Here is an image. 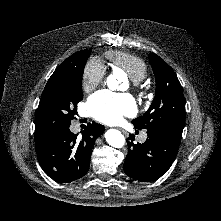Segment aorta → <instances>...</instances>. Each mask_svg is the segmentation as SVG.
Here are the masks:
<instances>
[{"label":"aorta","instance_id":"obj_1","mask_svg":"<svg viewBox=\"0 0 221 221\" xmlns=\"http://www.w3.org/2000/svg\"><path fill=\"white\" fill-rule=\"evenodd\" d=\"M107 85L110 90H116L119 82L115 75H110L107 78ZM105 139L107 143L114 148H122L125 144V137L116 129H110L105 133Z\"/></svg>","mask_w":221,"mask_h":221}]
</instances>
